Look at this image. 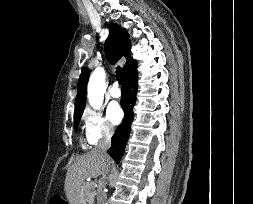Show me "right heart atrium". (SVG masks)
Listing matches in <instances>:
<instances>
[{"label": "right heart atrium", "mask_w": 253, "mask_h": 204, "mask_svg": "<svg viewBox=\"0 0 253 204\" xmlns=\"http://www.w3.org/2000/svg\"><path fill=\"white\" fill-rule=\"evenodd\" d=\"M85 138L88 144L96 145L109 139L114 128L108 118L99 110L87 108L82 116Z\"/></svg>", "instance_id": "obj_1"}]
</instances>
